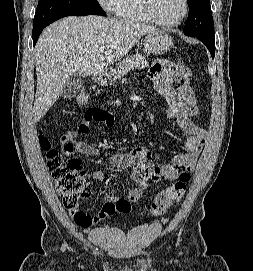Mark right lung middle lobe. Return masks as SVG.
Instances as JSON below:
<instances>
[{"instance_id":"right-lung-middle-lobe-1","label":"right lung middle lobe","mask_w":253,"mask_h":271,"mask_svg":"<svg viewBox=\"0 0 253 271\" xmlns=\"http://www.w3.org/2000/svg\"><path fill=\"white\" fill-rule=\"evenodd\" d=\"M105 15L97 0H39L33 31L48 26L65 16Z\"/></svg>"}]
</instances>
